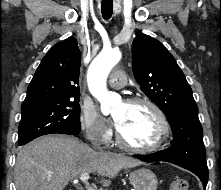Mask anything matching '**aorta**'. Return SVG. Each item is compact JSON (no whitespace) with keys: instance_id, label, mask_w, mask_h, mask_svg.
Masks as SVG:
<instances>
[{"instance_id":"762f6f07","label":"aorta","mask_w":221,"mask_h":190,"mask_svg":"<svg viewBox=\"0 0 221 190\" xmlns=\"http://www.w3.org/2000/svg\"><path fill=\"white\" fill-rule=\"evenodd\" d=\"M121 52L116 49L103 50L92 61L87 75L91 94L100 102L101 112L108 115L119 97L107 90L106 81L111 69L120 61Z\"/></svg>"}]
</instances>
